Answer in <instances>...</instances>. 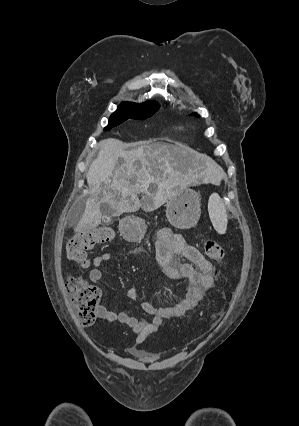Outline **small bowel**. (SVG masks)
I'll return each mask as SVG.
<instances>
[{
  "label": "small bowel",
  "mask_w": 299,
  "mask_h": 426,
  "mask_svg": "<svg viewBox=\"0 0 299 426\" xmlns=\"http://www.w3.org/2000/svg\"><path fill=\"white\" fill-rule=\"evenodd\" d=\"M180 257L186 261H181ZM110 259L109 252H104L93 259V269L89 273L92 283H97L101 279L100 266ZM156 259L169 280L187 282V292L182 300L168 306H156L148 301L140 302L142 310L152 316L151 321L138 319L128 312L117 313L107 306H99L96 310L99 318L131 328L132 333L136 335V346L130 351L145 361L152 360L154 355L139 349L138 346L150 334L157 332L165 319L180 317L196 307L203 299L205 292L214 286L217 277L214 266L203 254L195 246L187 244L181 235L174 234L168 228H163L158 233ZM126 297L133 302L139 301V294L135 288H130L126 292Z\"/></svg>",
  "instance_id": "1"
}]
</instances>
